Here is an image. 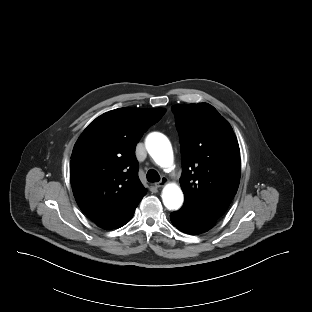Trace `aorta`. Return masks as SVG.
Masks as SVG:
<instances>
[{"label":"aorta","mask_w":312,"mask_h":312,"mask_svg":"<svg viewBox=\"0 0 312 312\" xmlns=\"http://www.w3.org/2000/svg\"><path fill=\"white\" fill-rule=\"evenodd\" d=\"M146 149L153 160L161 167L167 168L173 164V151L166 136L161 133H151L146 138ZM164 205L170 210H177L183 203V193L175 184H168L162 192Z\"/></svg>","instance_id":"762f6f07"}]
</instances>
